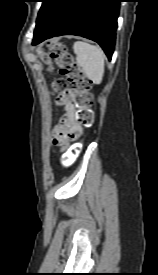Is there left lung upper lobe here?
Wrapping results in <instances>:
<instances>
[{"mask_svg": "<svg viewBox=\"0 0 158 275\" xmlns=\"http://www.w3.org/2000/svg\"><path fill=\"white\" fill-rule=\"evenodd\" d=\"M50 2V0H43V4L42 7L40 8L38 17H37V21H36V27L40 25L42 18H43V12L45 7L48 5V3Z\"/></svg>", "mask_w": 158, "mask_h": 275, "instance_id": "5c2ea615", "label": "left lung upper lobe"}]
</instances>
